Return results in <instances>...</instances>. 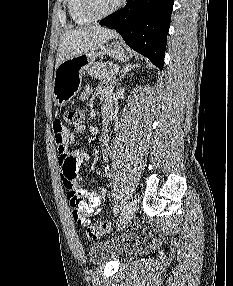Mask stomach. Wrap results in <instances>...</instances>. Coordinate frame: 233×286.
<instances>
[{"label":"stomach","instance_id":"stomach-1","mask_svg":"<svg viewBox=\"0 0 233 286\" xmlns=\"http://www.w3.org/2000/svg\"><path fill=\"white\" fill-rule=\"evenodd\" d=\"M100 55H109L118 61H128L129 55L119 42L103 45L99 52H86L62 62L55 70L53 101L58 107L65 106L81 89L85 70L95 64Z\"/></svg>","mask_w":233,"mask_h":286}]
</instances>
